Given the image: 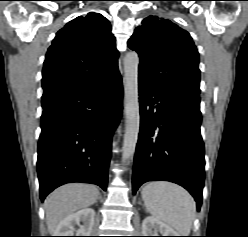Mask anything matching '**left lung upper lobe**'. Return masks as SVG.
Listing matches in <instances>:
<instances>
[{
    "mask_svg": "<svg viewBox=\"0 0 248 237\" xmlns=\"http://www.w3.org/2000/svg\"><path fill=\"white\" fill-rule=\"evenodd\" d=\"M128 46L139 54V79L165 93L199 96V53L187 31L149 16L135 29Z\"/></svg>",
    "mask_w": 248,
    "mask_h": 237,
    "instance_id": "5c2ea615",
    "label": "left lung upper lobe"
}]
</instances>
